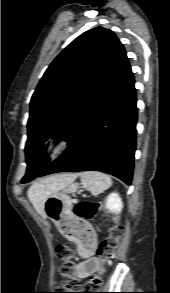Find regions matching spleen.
I'll list each match as a JSON object with an SVG mask.
<instances>
[{
	"label": "spleen",
	"mask_w": 170,
	"mask_h": 293,
	"mask_svg": "<svg viewBox=\"0 0 170 293\" xmlns=\"http://www.w3.org/2000/svg\"><path fill=\"white\" fill-rule=\"evenodd\" d=\"M80 178L83 187L92 194H100L112 185L111 178L107 174L101 172H82Z\"/></svg>",
	"instance_id": "obj_1"
}]
</instances>
